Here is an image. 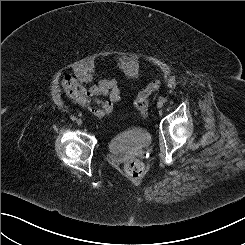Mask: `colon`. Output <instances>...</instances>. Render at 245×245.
<instances>
[{"label": "colon", "mask_w": 245, "mask_h": 245, "mask_svg": "<svg viewBox=\"0 0 245 245\" xmlns=\"http://www.w3.org/2000/svg\"><path fill=\"white\" fill-rule=\"evenodd\" d=\"M160 87L159 80H152L148 85L141 90L135 98L134 105L138 112L146 116L149 109L150 95L156 92ZM144 171V165L139 160L133 159L125 164V172L134 178H138Z\"/></svg>", "instance_id": "5ec220e1"}]
</instances>
